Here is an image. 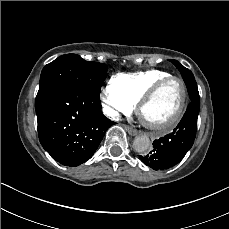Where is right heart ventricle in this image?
Segmentation results:
<instances>
[{
  "label": "right heart ventricle",
  "mask_w": 229,
  "mask_h": 229,
  "mask_svg": "<svg viewBox=\"0 0 229 229\" xmlns=\"http://www.w3.org/2000/svg\"><path fill=\"white\" fill-rule=\"evenodd\" d=\"M170 75L172 74L161 69L122 72L114 76L113 82L122 93L138 102L142 94L151 89L153 84Z\"/></svg>",
  "instance_id": "right-heart-ventricle-1"
}]
</instances>
